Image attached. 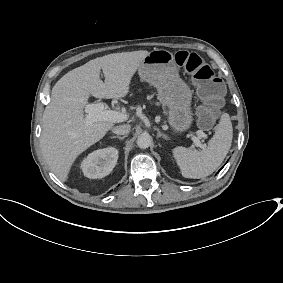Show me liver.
I'll return each instance as SVG.
<instances>
[{
    "mask_svg": "<svg viewBox=\"0 0 283 283\" xmlns=\"http://www.w3.org/2000/svg\"><path fill=\"white\" fill-rule=\"evenodd\" d=\"M148 53L140 50L98 57L69 71L56 82L43 113L40 145L44 159L61 181L67 180L76 157L113 127L110 121L87 124L83 109L89 96L125 97L131 78ZM101 69L105 82L100 79Z\"/></svg>",
    "mask_w": 283,
    "mask_h": 283,
    "instance_id": "1",
    "label": "liver"
}]
</instances>
